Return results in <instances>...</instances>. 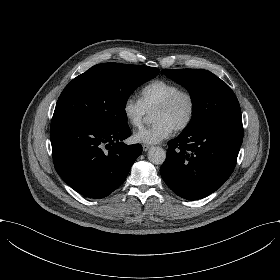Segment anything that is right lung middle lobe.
Here are the masks:
<instances>
[{
	"label": "right lung middle lobe",
	"instance_id": "1",
	"mask_svg": "<svg viewBox=\"0 0 280 280\" xmlns=\"http://www.w3.org/2000/svg\"><path fill=\"white\" fill-rule=\"evenodd\" d=\"M159 72L155 67L97 64L65 87L52 120L71 118L106 128L127 126L125 106L129 96Z\"/></svg>",
	"mask_w": 280,
	"mask_h": 280
}]
</instances>
